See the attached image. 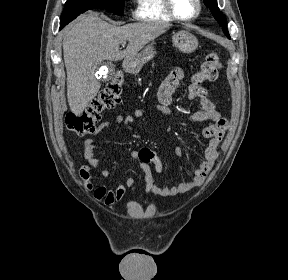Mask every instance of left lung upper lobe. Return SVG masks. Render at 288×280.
Instances as JSON below:
<instances>
[{"label": "left lung upper lobe", "instance_id": "obj_1", "mask_svg": "<svg viewBox=\"0 0 288 280\" xmlns=\"http://www.w3.org/2000/svg\"><path fill=\"white\" fill-rule=\"evenodd\" d=\"M205 5L210 9L211 13L218 21L220 26L222 27L223 32L225 35L230 38L228 29H227V21L224 14H222L218 8L217 0H204Z\"/></svg>", "mask_w": 288, "mask_h": 280}]
</instances>
